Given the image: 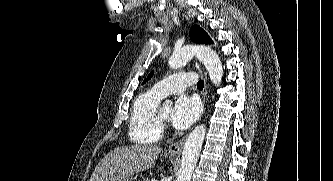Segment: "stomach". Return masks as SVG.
Returning <instances> with one entry per match:
<instances>
[{
    "label": "stomach",
    "mask_w": 333,
    "mask_h": 181,
    "mask_svg": "<svg viewBox=\"0 0 333 181\" xmlns=\"http://www.w3.org/2000/svg\"><path fill=\"white\" fill-rule=\"evenodd\" d=\"M135 177H127V178H124L120 181H134Z\"/></svg>",
    "instance_id": "stomach-1"
}]
</instances>
